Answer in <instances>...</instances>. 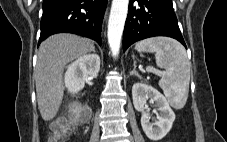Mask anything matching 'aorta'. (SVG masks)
Returning <instances> with one entry per match:
<instances>
[{"mask_svg": "<svg viewBox=\"0 0 227 142\" xmlns=\"http://www.w3.org/2000/svg\"><path fill=\"white\" fill-rule=\"evenodd\" d=\"M129 0H112L108 21V43L114 57L118 56Z\"/></svg>", "mask_w": 227, "mask_h": 142, "instance_id": "aorta-1", "label": "aorta"}]
</instances>
